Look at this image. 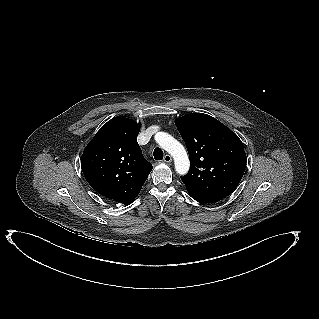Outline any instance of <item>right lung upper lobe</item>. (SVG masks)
<instances>
[{
  "label": "right lung upper lobe",
  "instance_id": "right-lung-upper-lobe-1",
  "mask_svg": "<svg viewBox=\"0 0 319 319\" xmlns=\"http://www.w3.org/2000/svg\"><path fill=\"white\" fill-rule=\"evenodd\" d=\"M140 126L124 117L111 119L100 128L81 158L90 186L124 205L134 201L152 170L137 143Z\"/></svg>",
  "mask_w": 319,
  "mask_h": 319
}]
</instances>
